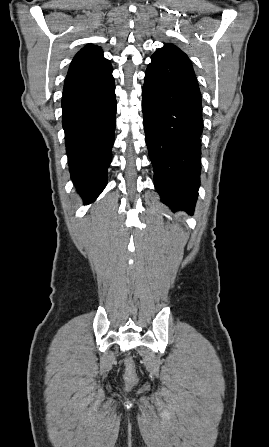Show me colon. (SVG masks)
Segmentation results:
<instances>
[{
	"instance_id": "5ec220e1",
	"label": "colon",
	"mask_w": 269,
	"mask_h": 447,
	"mask_svg": "<svg viewBox=\"0 0 269 447\" xmlns=\"http://www.w3.org/2000/svg\"><path fill=\"white\" fill-rule=\"evenodd\" d=\"M124 366H125L124 377L127 384L133 387L138 386L139 381L137 379L135 364L133 360H131L130 358H126L124 360Z\"/></svg>"
}]
</instances>
